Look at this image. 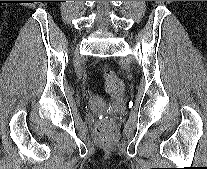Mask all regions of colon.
<instances>
[{"instance_id": "colon-1", "label": "colon", "mask_w": 207, "mask_h": 169, "mask_svg": "<svg viewBox=\"0 0 207 169\" xmlns=\"http://www.w3.org/2000/svg\"><path fill=\"white\" fill-rule=\"evenodd\" d=\"M104 87L107 94L114 100H120L124 96V83L110 69H105L104 71ZM95 133L101 142L110 143L115 138L116 127L111 119L105 118L97 123Z\"/></svg>"}]
</instances>
